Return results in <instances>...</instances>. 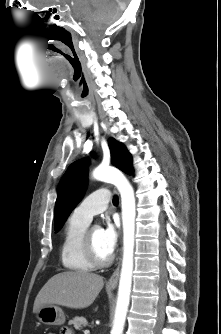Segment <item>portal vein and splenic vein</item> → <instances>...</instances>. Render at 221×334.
I'll list each match as a JSON object with an SVG mask.
<instances>
[{
  "mask_svg": "<svg viewBox=\"0 0 221 334\" xmlns=\"http://www.w3.org/2000/svg\"><path fill=\"white\" fill-rule=\"evenodd\" d=\"M89 333H90L89 330H85V331H84V334H89Z\"/></svg>",
  "mask_w": 221,
  "mask_h": 334,
  "instance_id": "18ae733b",
  "label": "portal vein and splenic vein"
}]
</instances>
